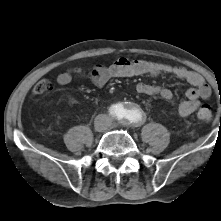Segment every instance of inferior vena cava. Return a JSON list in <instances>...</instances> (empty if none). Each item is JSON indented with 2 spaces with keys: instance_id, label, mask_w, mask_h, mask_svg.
Segmentation results:
<instances>
[{
  "instance_id": "obj_1",
  "label": "inferior vena cava",
  "mask_w": 221,
  "mask_h": 221,
  "mask_svg": "<svg viewBox=\"0 0 221 221\" xmlns=\"http://www.w3.org/2000/svg\"><path fill=\"white\" fill-rule=\"evenodd\" d=\"M99 121H105V124H102L101 127H100L102 130H105L107 128L108 124H109V116H107V115H99L96 118V124Z\"/></svg>"
}]
</instances>
